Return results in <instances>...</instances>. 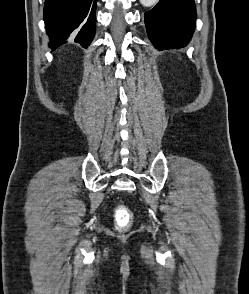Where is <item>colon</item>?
Masks as SVG:
<instances>
[{
	"label": "colon",
	"instance_id": "obj_1",
	"mask_svg": "<svg viewBox=\"0 0 249 294\" xmlns=\"http://www.w3.org/2000/svg\"><path fill=\"white\" fill-rule=\"evenodd\" d=\"M130 222V216L125 208H117L116 223L120 228L126 227Z\"/></svg>",
	"mask_w": 249,
	"mask_h": 294
}]
</instances>
